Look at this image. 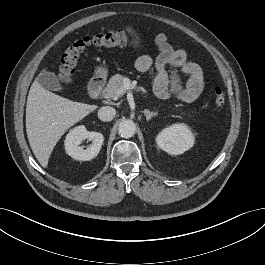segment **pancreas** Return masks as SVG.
<instances>
[{"instance_id": "pancreas-1", "label": "pancreas", "mask_w": 265, "mask_h": 265, "mask_svg": "<svg viewBox=\"0 0 265 265\" xmlns=\"http://www.w3.org/2000/svg\"><path fill=\"white\" fill-rule=\"evenodd\" d=\"M125 77L121 74L112 76L102 92V96L107 99H115L119 97L118 90L122 87Z\"/></svg>"}]
</instances>
